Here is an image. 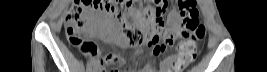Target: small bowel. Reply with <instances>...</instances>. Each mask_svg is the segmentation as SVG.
Instances as JSON below:
<instances>
[{
  "label": "small bowel",
  "instance_id": "c3829d8e",
  "mask_svg": "<svg viewBox=\"0 0 267 72\" xmlns=\"http://www.w3.org/2000/svg\"><path fill=\"white\" fill-rule=\"evenodd\" d=\"M129 10H131V6H126ZM167 22L170 27L171 32L174 35V39L181 38L182 37V17L175 11H171L167 17ZM89 35L92 37H101L103 39H108L116 44L122 46V47H127L128 42L127 40L120 36L117 35L116 32L111 28L109 20L103 19L98 21L95 26L89 31ZM91 45V49L88 52H84L87 54L92 61V64L94 66V72H102L103 65L105 64L103 58L106 57H100L101 56V51L95 47L93 44ZM141 56V51L137 50L135 52V55L133 57L132 61V68L129 70L130 72H137L136 70V65L140 59ZM176 56L174 55H169L166 58H164L160 65H159V70L154 64H150L147 66L145 69L140 70L138 72H175L174 71V63L176 61Z\"/></svg>",
  "mask_w": 267,
  "mask_h": 72
}]
</instances>
